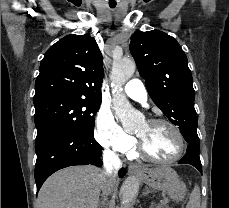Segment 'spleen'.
I'll return each mask as SVG.
<instances>
[{
	"instance_id": "obj_1",
	"label": "spleen",
	"mask_w": 229,
	"mask_h": 208,
	"mask_svg": "<svg viewBox=\"0 0 229 208\" xmlns=\"http://www.w3.org/2000/svg\"><path fill=\"white\" fill-rule=\"evenodd\" d=\"M200 188L195 186L192 194H190V200L188 202L187 208H200Z\"/></svg>"
}]
</instances>
